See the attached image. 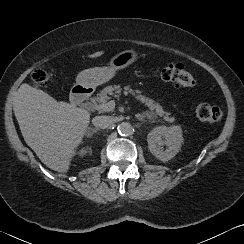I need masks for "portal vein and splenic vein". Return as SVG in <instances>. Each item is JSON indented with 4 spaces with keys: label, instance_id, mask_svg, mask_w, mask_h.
<instances>
[{
    "label": "portal vein and splenic vein",
    "instance_id": "obj_1",
    "mask_svg": "<svg viewBox=\"0 0 244 244\" xmlns=\"http://www.w3.org/2000/svg\"><path fill=\"white\" fill-rule=\"evenodd\" d=\"M115 106H116L115 101L111 100V101L107 102L106 104H103V105L98 106V107L101 109H108L109 108V109L113 110L115 108Z\"/></svg>",
    "mask_w": 244,
    "mask_h": 244
}]
</instances>
